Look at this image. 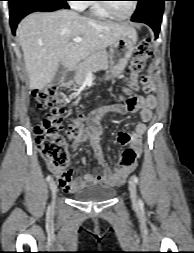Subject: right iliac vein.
<instances>
[{"instance_id":"1","label":"right iliac vein","mask_w":194,"mask_h":253,"mask_svg":"<svg viewBox=\"0 0 194 253\" xmlns=\"http://www.w3.org/2000/svg\"><path fill=\"white\" fill-rule=\"evenodd\" d=\"M50 189H51V192H52L53 203H54L55 202V197H56V194H57V191H58L57 184L54 180L50 181Z\"/></svg>"}]
</instances>
